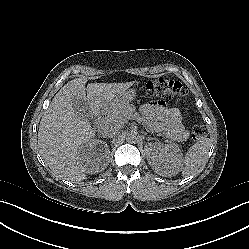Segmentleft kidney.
Segmentation results:
<instances>
[{
    "label": "left kidney",
    "mask_w": 249,
    "mask_h": 249,
    "mask_svg": "<svg viewBox=\"0 0 249 249\" xmlns=\"http://www.w3.org/2000/svg\"><path fill=\"white\" fill-rule=\"evenodd\" d=\"M155 154L158 162V170L166 173L174 168L172 163V157L176 154L168 149V146H163L161 143H155L154 145Z\"/></svg>",
    "instance_id": "left-kidney-1"
}]
</instances>
